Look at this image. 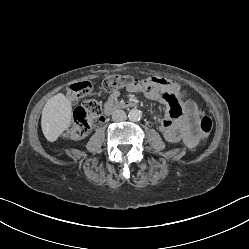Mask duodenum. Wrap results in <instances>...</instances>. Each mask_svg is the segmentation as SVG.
I'll return each instance as SVG.
<instances>
[{
  "mask_svg": "<svg viewBox=\"0 0 249 249\" xmlns=\"http://www.w3.org/2000/svg\"><path fill=\"white\" fill-rule=\"evenodd\" d=\"M135 106L136 103L131 101H117V102L114 101L106 104L104 113L107 116L120 109H129Z\"/></svg>",
  "mask_w": 249,
  "mask_h": 249,
  "instance_id": "obj_1",
  "label": "duodenum"
}]
</instances>
